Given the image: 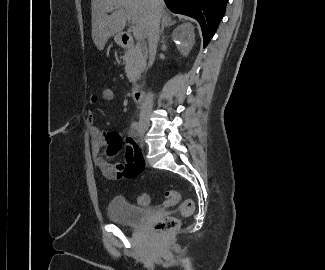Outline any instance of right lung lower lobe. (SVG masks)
Segmentation results:
<instances>
[{"label": "right lung lower lobe", "mask_w": 325, "mask_h": 270, "mask_svg": "<svg viewBox=\"0 0 325 270\" xmlns=\"http://www.w3.org/2000/svg\"><path fill=\"white\" fill-rule=\"evenodd\" d=\"M174 13L195 18L202 29L203 46L213 37L224 16L228 0H164Z\"/></svg>", "instance_id": "1"}]
</instances>
